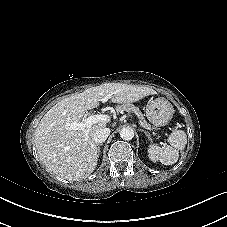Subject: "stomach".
I'll list each match as a JSON object with an SVG mask.
<instances>
[{"label":"stomach","instance_id":"0dacf381","mask_svg":"<svg viewBox=\"0 0 227 227\" xmlns=\"http://www.w3.org/2000/svg\"><path fill=\"white\" fill-rule=\"evenodd\" d=\"M173 113V106L163 97L154 99L146 108V116L155 126L166 125L172 119Z\"/></svg>","mask_w":227,"mask_h":227}]
</instances>
